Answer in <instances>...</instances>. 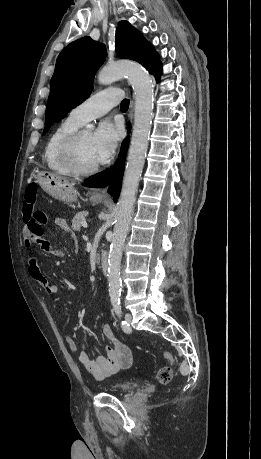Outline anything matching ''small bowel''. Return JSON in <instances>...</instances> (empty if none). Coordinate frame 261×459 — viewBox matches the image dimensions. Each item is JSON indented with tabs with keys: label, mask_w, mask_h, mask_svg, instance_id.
Here are the masks:
<instances>
[{
	"label": "small bowel",
	"mask_w": 261,
	"mask_h": 459,
	"mask_svg": "<svg viewBox=\"0 0 261 459\" xmlns=\"http://www.w3.org/2000/svg\"><path fill=\"white\" fill-rule=\"evenodd\" d=\"M55 224L64 231L70 232L64 219L56 218ZM24 243L27 247L36 244L44 251L55 252L51 242L44 237L43 233L36 234L34 238H24ZM28 272L47 295L51 296L57 293V285L43 274L36 258L30 259ZM102 331L109 342L105 347L104 355L91 359L85 344L81 343L80 345L79 361L96 379H104L120 370L130 368L132 365L130 349L116 337L112 326L106 323L103 325ZM66 343L70 350L76 351L78 349V343L71 336L66 337Z\"/></svg>",
	"instance_id": "small-bowel-1"
}]
</instances>
